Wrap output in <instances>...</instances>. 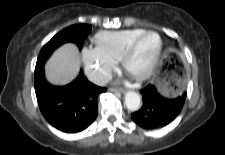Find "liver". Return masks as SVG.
I'll use <instances>...</instances> for the list:
<instances>
[{
  "instance_id": "6515ba94",
  "label": "liver",
  "mask_w": 225,
  "mask_h": 155,
  "mask_svg": "<svg viewBox=\"0 0 225 155\" xmlns=\"http://www.w3.org/2000/svg\"><path fill=\"white\" fill-rule=\"evenodd\" d=\"M80 71V56L75 44L67 43L54 51L45 64L47 80L54 85L72 82Z\"/></svg>"
}]
</instances>
